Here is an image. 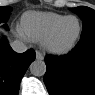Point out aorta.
<instances>
[{"label":"aorta","mask_w":95,"mask_h":95,"mask_svg":"<svg viewBox=\"0 0 95 95\" xmlns=\"http://www.w3.org/2000/svg\"><path fill=\"white\" fill-rule=\"evenodd\" d=\"M30 72L34 76H43L46 73V64L42 60H35L30 65Z\"/></svg>","instance_id":"aorta-1"}]
</instances>
